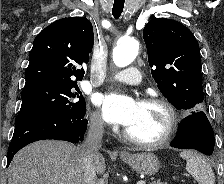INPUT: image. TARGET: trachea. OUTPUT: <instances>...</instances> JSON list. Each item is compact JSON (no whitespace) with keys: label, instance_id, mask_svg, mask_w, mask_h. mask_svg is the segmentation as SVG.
<instances>
[{"label":"trachea","instance_id":"trachea-1","mask_svg":"<svg viewBox=\"0 0 224 184\" xmlns=\"http://www.w3.org/2000/svg\"><path fill=\"white\" fill-rule=\"evenodd\" d=\"M124 2L125 0H114L112 14L115 19H118L121 16L124 8Z\"/></svg>","mask_w":224,"mask_h":184}]
</instances>
